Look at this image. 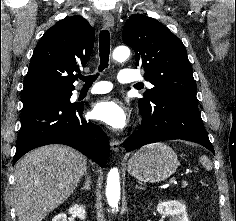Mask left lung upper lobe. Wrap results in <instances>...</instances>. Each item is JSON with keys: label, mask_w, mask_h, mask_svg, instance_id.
<instances>
[{"label": "left lung upper lobe", "mask_w": 236, "mask_h": 221, "mask_svg": "<svg viewBox=\"0 0 236 221\" xmlns=\"http://www.w3.org/2000/svg\"><path fill=\"white\" fill-rule=\"evenodd\" d=\"M123 41L135 51L136 65L154 88L139 99V107L150 106L164 95L196 97L192 66L182 41L156 19L132 15L123 30Z\"/></svg>", "instance_id": "1"}]
</instances>
